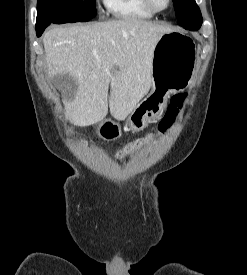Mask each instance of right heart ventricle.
<instances>
[{"label":"right heart ventricle","mask_w":247,"mask_h":275,"mask_svg":"<svg viewBox=\"0 0 247 275\" xmlns=\"http://www.w3.org/2000/svg\"><path fill=\"white\" fill-rule=\"evenodd\" d=\"M105 5L114 17L120 19H150L155 15L143 0H105Z\"/></svg>","instance_id":"e07e8e85"}]
</instances>
